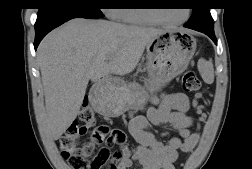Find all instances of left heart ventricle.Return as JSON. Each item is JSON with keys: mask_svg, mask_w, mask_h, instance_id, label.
Segmentation results:
<instances>
[{"mask_svg": "<svg viewBox=\"0 0 252 169\" xmlns=\"http://www.w3.org/2000/svg\"><path fill=\"white\" fill-rule=\"evenodd\" d=\"M158 15L164 19L176 21L184 17L185 12L183 9H171L165 10L158 13Z\"/></svg>", "mask_w": 252, "mask_h": 169, "instance_id": "obj_1", "label": "left heart ventricle"}]
</instances>
